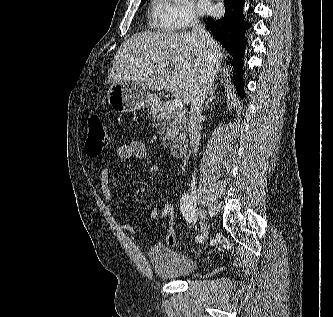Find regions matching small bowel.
<instances>
[{
	"mask_svg": "<svg viewBox=\"0 0 333 317\" xmlns=\"http://www.w3.org/2000/svg\"><path fill=\"white\" fill-rule=\"evenodd\" d=\"M147 157L146 145L139 140H132L126 144H122L117 147L113 154V160L117 161H130V160H143ZM100 186L103 197L105 200L113 206L112 191L109 182V167L104 166L100 171ZM159 209H153L150 211V219H156ZM121 226L123 229L130 232H137V227L128 220H122Z\"/></svg>",
	"mask_w": 333,
	"mask_h": 317,
	"instance_id": "obj_1",
	"label": "small bowel"
}]
</instances>
